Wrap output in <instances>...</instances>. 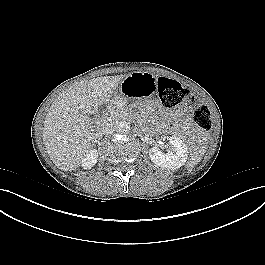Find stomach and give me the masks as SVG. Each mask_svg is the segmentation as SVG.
Returning a JSON list of instances; mask_svg holds the SVG:
<instances>
[{
    "label": "stomach",
    "instance_id": "1",
    "mask_svg": "<svg viewBox=\"0 0 265 265\" xmlns=\"http://www.w3.org/2000/svg\"><path fill=\"white\" fill-rule=\"evenodd\" d=\"M155 77L148 73L136 72L121 82L119 92L130 100L149 96L155 90Z\"/></svg>",
    "mask_w": 265,
    "mask_h": 265
}]
</instances>
